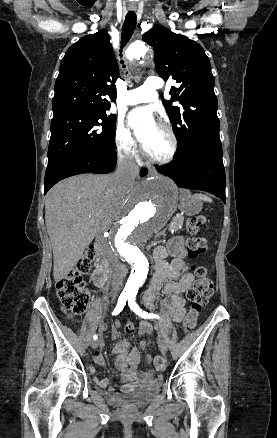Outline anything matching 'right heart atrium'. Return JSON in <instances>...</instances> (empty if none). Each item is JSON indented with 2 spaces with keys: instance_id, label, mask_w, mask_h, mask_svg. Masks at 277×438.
<instances>
[{
  "instance_id": "1",
  "label": "right heart atrium",
  "mask_w": 277,
  "mask_h": 438,
  "mask_svg": "<svg viewBox=\"0 0 277 438\" xmlns=\"http://www.w3.org/2000/svg\"><path fill=\"white\" fill-rule=\"evenodd\" d=\"M116 145L121 155L129 157L136 151V142L130 130L119 122L116 129Z\"/></svg>"
}]
</instances>
